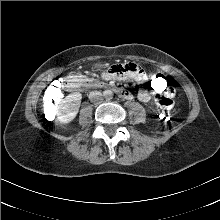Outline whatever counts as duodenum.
<instances>
[{
    "label": "duodenum",
    "mask_w": 220,
    "mask_h": 220,
    "mask_svg": "<svg viewBox=\"0 0 220 220\" xmlns=\"http://www.w3.org/2000/svg\"><path fill=\"white\" fill-rule=\"evenodd\" d=\"M65 86L69 91H76L84 87V84L80 82L79 80H69L66 82ZM96 86L100 87L101 85H96ZM115 92L123 98L128 97V92L122 89H115Z\"/></svg>",
    "instance_id": "obj_1"
}]
</instances>
